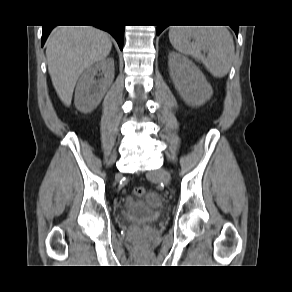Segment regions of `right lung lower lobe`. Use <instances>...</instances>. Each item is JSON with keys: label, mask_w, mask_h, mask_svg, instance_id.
<instances>
[{"label": "right lung lower lobe", "mask_w": 292, "mask_h": 292, "mask_svg": "<svg viewBox=\"0 0 292 292\" xmlns=\"http://www.w3.org/2000/svg\"><path fill=\"white\" fill-rule=\"evenodd\" d=\"M54 26H43V32H42V46L49 35L50 31L52 30ZM96 27L103 29L107 32H109L118 42V45L120 49L123 48V35H124V26H117V25H97Z\"/></svg>", "instance_id": "1"}]
</instances>
